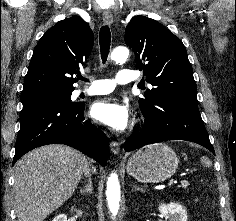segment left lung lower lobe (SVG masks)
Masks as SVG:
<instances>
[{
    "label": "left lung lower lobe",
    "mask_w": 236,
    "mask_h": 221,
    "mask_svg": "<svg viewBox=\"0 0 236 221\" xmlns=\"http://www.w3.org/2000/svg\"><path fill=\"white\" fill-rule=\"evenodd\" d=\"M141 111L145 117L144 126L139 134L125 142L126 152L151 143L187 140L198 143L215 154L196 99L167 97Z\"/></svg>",
    "instance_id": "0a47b994"
}]
</instances>
